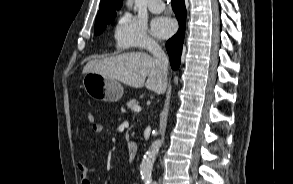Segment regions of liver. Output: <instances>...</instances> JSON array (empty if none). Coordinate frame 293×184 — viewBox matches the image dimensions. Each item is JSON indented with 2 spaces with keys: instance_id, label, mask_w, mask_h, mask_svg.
I'll return each instance as SVG.
<instances>
[{
  "instance_id": "liver-1",
  "label": "liver",
  "mask_w": 293,
  "mask_h": 184,
  "mask_svg": "<svg viewBox=\"0 0 293 184\" xmlns=\"http://www.w3.org/2000/svg\"><path fill=\"white\" fill-rule=\"evenodd\" d=\"M95 72L116 79L134 88L145 87L158 94L164 93L167 84L162 82L153 57L142 52L123 53L117 56L92 59L83 73ZM148 77L146 83L145 79Z\"/></svg>"
}]
</instances>
